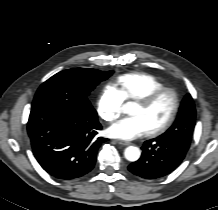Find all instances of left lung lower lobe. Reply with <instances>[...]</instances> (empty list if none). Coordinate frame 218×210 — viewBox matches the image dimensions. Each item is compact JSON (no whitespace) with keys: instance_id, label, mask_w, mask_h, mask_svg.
Wrapping results in <instances>:
<instances>
[{"instance_id":"1","label":"left lung lower lobe","mask_w":218,"mask_h":210,"mask_svg":"<svg viewBox=\"0 0 218 210\" xmlns=\"http://www.w3.org/2000/svg\"><path fill=\"white\" fill-rule=\"evenodd\" d=\"M190 144L182 139L157 137L145 141L141 158L129 165L133 174L146 179L163 177L175 170L185 158Z\"/></svg>"}]
</instances>
